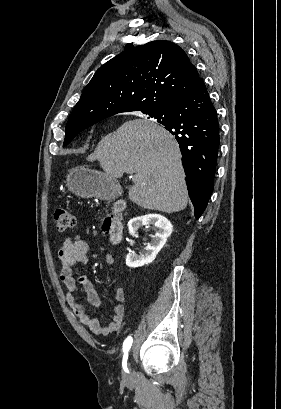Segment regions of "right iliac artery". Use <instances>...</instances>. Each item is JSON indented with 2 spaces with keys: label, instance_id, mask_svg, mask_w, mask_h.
I'll return each instance as SVG.
<instances>
[{
  "label": "right iliac artery",
  "instance_id": "82829eb1",
  "mask_svg": "<svg viewBox=\"0 0 281 409\" xmlns=\"http://www.w3.org/2000/svg\"><path fill=\"white\" fill-rule=\"evenodd\" d=\"M131 345H132V337H128L123 343V352L125 354V357H127L128 351H129ZM123 367L124 368L126 367L125 360L123 361Z\"/></svg>",
  "mask_w": 281,
  "mask_h": 409
}]
</instances>
